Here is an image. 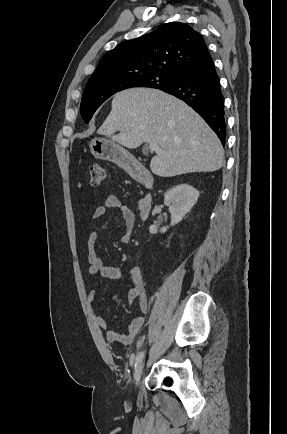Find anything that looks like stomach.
Here are the masks:
<instances>
[{"label":"stomach","instance_id":"stomach-1","mask_svg":"<svg viewBox=\"0 0 287 434\" xmlns=\"http://www.w3.org/2000/svg\"><path fill=\"white\" fill-rule=\"evenodd\" d=\"M89 147L95 158L113 162L123 168L129 167L133 159L121 146L103 138L92 139Z\"/></svg>","mask_w":287,"mask_h":434}]
</instances>
